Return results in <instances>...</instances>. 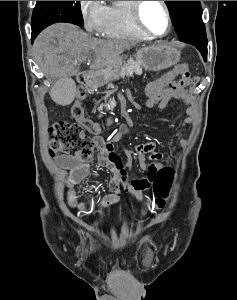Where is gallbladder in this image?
I'll return each instance as SVG.
<instances>
[{"label":"gallbladder","instance_id":"gallbladder-1","mask_svg":"<svg viewBox=\"0 0 237 300\" xmlns=\"http://www.w3.org/2000/svg\"><path fill=\"white\" fill-rule=\"evenodd\" d=\"M58 83L51 90L52 101L55 105H71L74 100L75 87L72 76H58Z\"/></svg>","mask_w":237,"mask_h":300}]
</instances>
